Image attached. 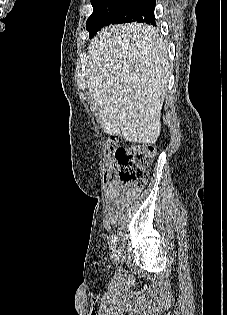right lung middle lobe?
I'll use <instances>...</instances> for the list:
<instances>
[{"label":"right lung middle lobe","instance_id":"1","mask_svg":"<svg viewBox=\"0 0 227 315\" xmlns=\"http://www.w3.org/2000/svg\"><path fill=\"white\" fill-rule=\"evenodd\" d=\"M93 13L86 22L92 38L110 24L139 22L154 24L155 0H98L91 2Z\"/></svg>","mask_w":227,"mask_h":315}]
</instances>
